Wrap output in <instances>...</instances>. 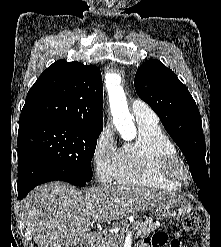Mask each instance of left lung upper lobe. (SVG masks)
<instances>
[{
	"instance_id": "left-lung-upper-lobe-1",
	"label": "left lung upper lobe",
	"mask_w": 221,
	"mask_h": 247,
	"mask_svg": "<svg viewBox=\"0 0 221 247\" xmlns=\"http://www.w3.org/2000/svg\"><path fill=\"white\" fill-rule=\"evenodd\" d=\"M134 85L185 155L198 188L209 190L211 175L205 162L201 116L187 87L158 60H148L138 68Z\"/></svg>"
}]
</instances>
